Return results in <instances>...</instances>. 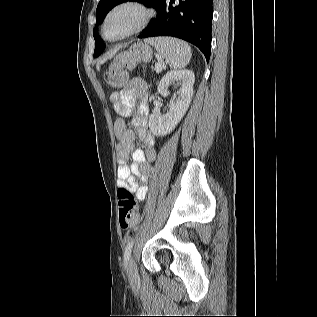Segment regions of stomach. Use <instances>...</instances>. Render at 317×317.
Segmentation results:
<instances>
[{
    "mask_svg": "<svg viewBox=\"0 0 317 317\" xmlns=\"http://www.w3.org/2000/svg\"><path fill=\"white\" fill-rule=\"evenodd\" d=\"M116 57H124L127 68H131L138 63L142 65L143 62H148L152 58V49L148 44L135 43L128 50L119 53Z\"/></svg>",
    "mask_w": 317,
    "mask_h": 317,
    "instance_id": "0dacf381",
    "label": "stomach"
}]
</instances>
